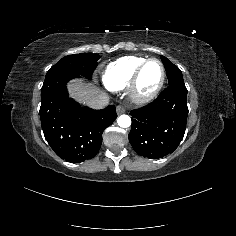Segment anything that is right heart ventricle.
Segmentation results:
<instances>
[{
  "label": "right heart ventricle",
  "mask_w": 236,
  "mask_h": 236,
  "mask_svg": "<svg viewBox=\"0 0 236 236\" xmlns=\"http://www.w3.org/2000/svg\"><path fill=\"white\" fill-rule=\"evenodd\" d=\"M146 59L139 56H124L109 63L102 73L104 86L111 92L128 89L135 71Z\"/></svg>",
  "instance_id": "right-heart-ventricle-1"
}]
</instances>
